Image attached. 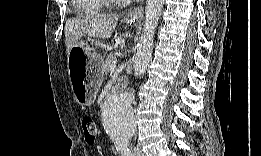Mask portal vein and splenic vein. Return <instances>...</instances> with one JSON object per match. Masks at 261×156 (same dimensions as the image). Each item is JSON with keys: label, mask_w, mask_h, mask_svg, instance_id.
Listing matches in <instances>:
<instances>
[{"label": "portal vein and splenic vein", "mask_w": 261, "mask_h": 156, "mask_svg": "<svg viewBox=\"0 0 261 156\" xmlns=\"http://www.w3.org/2000/svg\"><path fill=\"white\" fill-rule=\"evenodd\" d=\"M116 69H117V66H116V65H111V67H110V72H111V73H114V72L116 71Z\"/></svg>", "instance_id": "portal-vein-and-splenic-vein-1"}]
</instances>
